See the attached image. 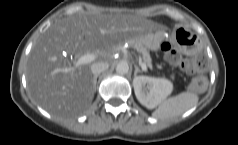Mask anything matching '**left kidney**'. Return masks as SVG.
<instances>
[{"instance_id":"left-kidney-1","label":"left kidney","mask_w":238,"mask_h":145,"mask_svg":"<svg viewBox=\"0 0 238 145\" xmlns=\"http://www.w3.org/2000/svg\"><path fill=\"white\" fill-rule=\"evenodd\" d=\"M133 87L138 101L148 109H153L161 103L173 90V84L164 78L136 76Z\"/></svg>"}]
</instances>
